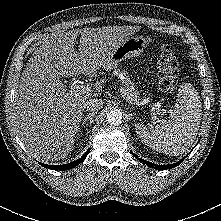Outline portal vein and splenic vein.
I'll return each instance as SVG.
<instances>
[{"instance_id": "1", "label": "portal vein and splenic vein", "mask_w": 221, "mask_h": 221, "mask_svg": "<svg viewBox=\"0 0 221 221\" xmlns=\"http://www.w3.org/2000/svg\"><path fill=\"white\" fill-rule=\"evenodd\" d=\"M71 89L74 92H77L79 94H86L91 92V86L84 84L83 82L80 81H74L71 85H70ZM121 92L126 95V93L124 92V89H121ZM152 111L157 112V114H161V113H166L165 110H163L164 112L160 111L159 105L156 104L155 107L151 108ZM156 116H153V118H155ZM156 119V118H155Z\"/></svg>"}]
</instances>
